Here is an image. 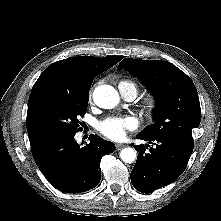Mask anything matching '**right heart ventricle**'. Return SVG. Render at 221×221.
<instances>
[{"mask_svg": "<svg viewBox=\"0 0 221 221\" xmlns=\"http://www.w3.org/2000/svg\"><path fill=\"white\" fill-rule=\"evenodd\" d=\"M119 90L121 91H133L135 94H137V84L129 79L122 80L119 82Z\"/></svg>", "mask_w": 221, "mask_h": 221, "instance_id": "right-heart-ventricle-1", "label": "right heart ventricle"}]
</instances>
